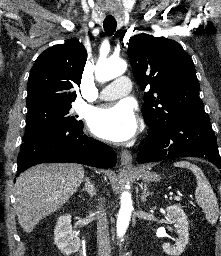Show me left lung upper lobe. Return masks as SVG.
I'll return each mask as SVG.
<instances>
[{"instance_id": "obj_1", "label": "left lung upper lobe", "mask_w": 221, "mask_h": 256, "mask_svg": "<svg viewBox=\"0 0 221 256\" xmlns=\"http://www.w3.org/2000/svg\"><path fill=\"white\" fill-rule=\"evenodd\" d=\"M128 55L136 81L148 90L142 111L149 128L208 118L193 61L180 44L139 34L130 39Z\"/></svg>"}]
</instances>
